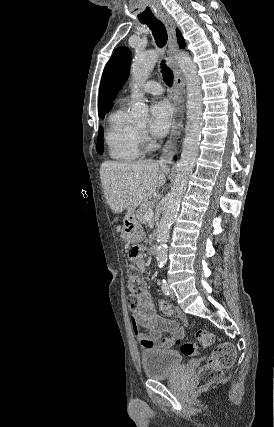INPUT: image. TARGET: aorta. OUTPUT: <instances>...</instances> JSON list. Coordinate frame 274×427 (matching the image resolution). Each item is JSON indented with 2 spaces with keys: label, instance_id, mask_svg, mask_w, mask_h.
Instances as JSON below:
<instances>
[{
  "label": "aorta",
  "instance_id": "aorta-1",
  "mask_svg": "<svg viewBox=\"0 0 274 427\" xmlns=\"http://www.w3.org/2000/svg\"><path fill=\"white\" fill-rule=\"evenodd\" d=\"M156 50L136 55L131 68V88L136 95L132 105L131 116L137 121L148 117V107L142 101L141 85L146 81L158 61ZM176 59L184 74L187 90L185 138L182 144L181 158L177 163V174L170 191L169 200L157 228V262L160 268L167 262L170 227L179 210L180 200L186 190L188 179L193 171L198 156L202 130V91L198 69L186 52L177 54Z\"/></svg>",
  "mask_w": 274,
  "mask_h": 427
}]
</instances>
